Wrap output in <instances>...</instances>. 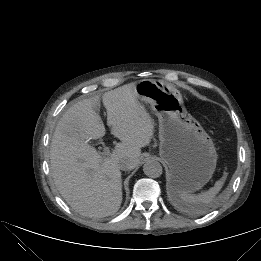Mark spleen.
<instances>
[{
    "instance_id": "obj_1",
    "label": "spleen",
    "mask_w": 261,
    "mask_h": 261,
    "mask_svg": "<svg viewBox=\"0 0 261 261\" xmlns=\"http://www.w3.org/2000/svg\"><path fill=\"white\" fill-rule=\"evenodd\" d=\"M225 179L226 174H224L223 177L215 183L214 187L198 195L181 193L177 195L173 194V197L180 205L184 206L190 212L199 213L203 206L210 203L216 194L221 190Z\"/></svg>"
}]
</instances>
